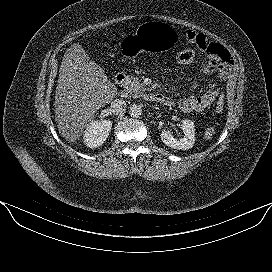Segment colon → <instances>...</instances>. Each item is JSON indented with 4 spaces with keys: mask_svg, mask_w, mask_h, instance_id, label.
<instances>
[{
    "mask_svg": "<svg viewBox=\"0 0 272 272\" xmlns=\"http://www.w3.org/2000/svg\"><path fill=\"white\" fill-rule=\"evenodd\" d=\"M195 54L192 49H180L175 54V59L180 64H189L194 60ZM224 110V96L221 95L215 105V111L221 113Z\"/></svg>",
    "mask_w": 272,
    "mask_h": 272,
    "instance_id": "colon-1",
    "label": "colon"
}]
</instances>
